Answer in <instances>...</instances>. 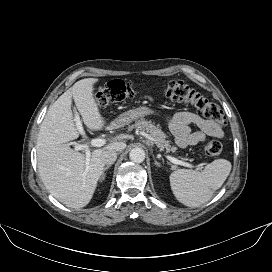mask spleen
<instances>
[{"label": "spleen", "mask_w": 272, "mask_h": 272, "mask_svg": "<svg viewBox=\"0 0 272 272\" xmlns=\"http://www.w3.org/2000/svg\"><path fill=\"white\" fill-rule=\"evenodd\" d=\"M231 163L216 159L202 171L178 169L170 175V185L176 199L188 207H199L208 202L231 171Z\"/></svg>", "instance_id": "obj_1"}]
</instances>
